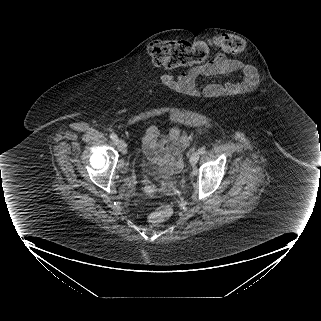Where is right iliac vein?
Wrapping results in <instances>:
<instances>
[{"label": "right iliac vein", "instance_id": "63e3f726", "mask_svg": "<svg viewBox=\"0 0 321 321\" xmlns=\"http://www.w3.org/2000/svg\"><path fill=\"white\" fill-rule=\"evenodd\" d=\"M117 146H118L119 150L121 151V153L123 155H125L126 152H127L126 143L122 139H119L118 142H117Z\"/></svg>", "mask_w": 321, "mask_h": 321}]
</instances>
